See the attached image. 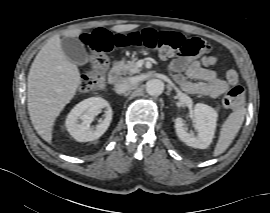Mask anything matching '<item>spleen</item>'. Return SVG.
Masks as SVG:
<instances>
[{"instance_id": "1", "label": "spleen", "mask_w": 270, "mask_h": 213, "mask_svg": "<svg viewBox=\"0 0 270 213\" xmlns=\"http://www.w3.org/2000/svg\"><path fill=\"white\" fill-rule=\"evenodd\" d=\"M245 113V109H240L231 113L224 121L220 130L218 142L213 152L214 156H219L225 152L229 145L232 143L241 128Z\"/></svg>"}]
</instances>
